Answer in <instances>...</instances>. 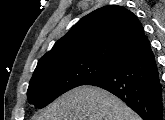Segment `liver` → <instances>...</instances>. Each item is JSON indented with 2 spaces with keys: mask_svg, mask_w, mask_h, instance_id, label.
Returning <instances> with one entry per match:
<instances>
[{
  "mask_svg": "<svg viewBox=\"0 0 165 120\" xmlns=\"http://www.w3.org/2000/svg\"><path fill=\"white\" fill-rule=\"evenodd\" d=\"M33 120H141L123 101L94 86L76 87L52 102Z\"/></svg>",
  "mask_w": 165,
  "mask_h": 120,
  "instance_id": "1",
  "label": "liver"
}]
</instances>
